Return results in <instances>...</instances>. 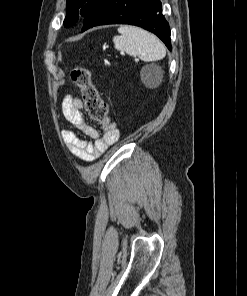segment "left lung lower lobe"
Instances as JSON below:
<instances>
[{"label":"left lung lower lobe","mask_w":247,"mask_h":296,"mask_svg":"<svg viewBox=\"0 0 247 296\" xmlns=\"http://www.w3.org/2000/svg\"><path fill=\"white\" fill-rule=\"evenodd\" d=\"M104 24H131L156 34L171 50L170 27L160 0H100L85 16L82 32Z\"/></svg>","instance_id":"left-lung-lower-lobe-1"}]
</instances>
